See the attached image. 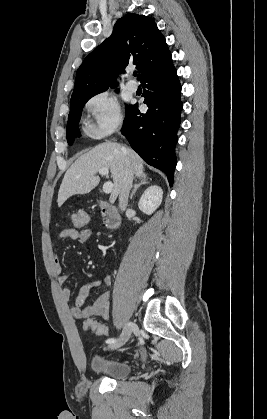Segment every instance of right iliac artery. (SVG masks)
Listing matches in <instances>:
<instances>
[{"mask_svg":"<svg viewBox=\"0 0 267 419\" xmlns=\"http://www.w3.org/2000/svg\"><path fill=\"white\" fill-rule=\"evenodd\" d=\"M116 341H117V339H115V338H109V339L106 340V343L112 344V343H115Z\"/></svg>","mask_w":267,"mask_h":419,"instance_id":"82829eb1","label":"right iliac artery"}]
</instances>
